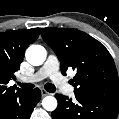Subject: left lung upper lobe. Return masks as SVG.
Segmentation results:
<instances>
[{"label": "left lung upper lobe", "instance_id": "obj_1", "mask_svg": "<svg viewBox=\"0 0 119 119\" xmlns=\"http://www.w3.org/2000/svg\"><path fill=\"white\" fill-rule=\"evenodd\" d=\"M44 41L61 62V72L76 71V94L119 103L118 74L108 50L90 35L72 28H43Z\"/></svg>", "mask_w": 119, "mask_h": 119}]
</instances>
